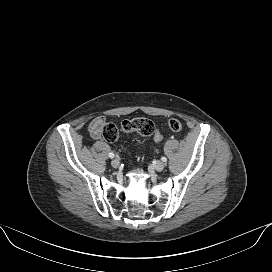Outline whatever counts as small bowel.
<instances>
[{"instance_id":"small-bowel-1","label":"small bowel","mask_w":272,"mask_h":272,"mask_svg":"<svg viewBox=\"0 0 272 272\" xmlns=\"http://www.w3.org/2000/svg\"><path fill=\"white\" fill-rule=\"evenodd\" d=\"M105 125V118L103 116H97L89 123L88 130L93 139H101L102 130Z\"/></svg>"}]
</instances>
